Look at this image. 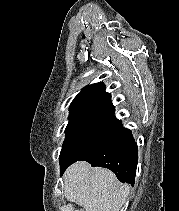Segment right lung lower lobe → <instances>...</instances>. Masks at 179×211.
Returning a JSON list of instances; mask_svg holds the SVG:
<instances>
[{"instance_id":"obj_1","label":"right lung lower lobe","mask_w":179,"mask_h":211,"mask_svg":"<svg viewBox=\"0 0 179 211\" xmlns=\"http://www.w3.org/2000/svg\"><path fill=\"white\" fill-rule=\"evenodd\" d=\"M81 160L89 162L92 166L108 168L115 173L121 182L134 185L138 147L131 131L124 128L121 121L107 140L77 161ZM71 164L61 166V174Z\"/></svg>"}]
</instances>
